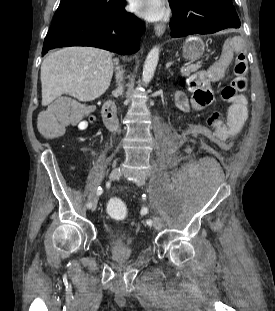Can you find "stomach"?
Returning <instances> with one entry per match:
<instances>
[{
  "label": "stomach",
  "instance_id": "0dacf381",
  "mask_svg": "<svg viewBox=\"0 0 275 311\" xmlns=\"http://www.w3.org/2000/svg\"><path fill=\"white\" fill-rule=\"evenodd\" d=\"M205 50L204 43L197 37L188 38L183 45V56L189 60H196Z\"/></svg>",
  "mask_w": 275,
  "mask_h": 311
}]
</instances>
